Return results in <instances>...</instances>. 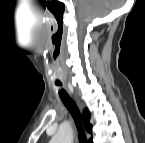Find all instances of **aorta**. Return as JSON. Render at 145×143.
<instances>
[{
    "mask_svg": "<svg viewBox=\"0 0 145 143\" xmlns=\"http://www.w3.org/2000/svg\"><path fill=\"white\" fill-rule=\"evenodd\" d=\"M53 143H71L72 142V132L70 130H60L52 138Z\"/></svg>",
    "mask_w": 145,
    "mask_h": 143,
    "instance_id": "aorta-1",
    "label": "aorta"
}]
</instances>
